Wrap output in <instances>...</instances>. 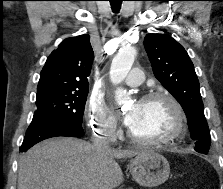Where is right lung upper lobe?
Wrapping results in <instances>:
<instances>
[{"label": "right lung upper lobe", "instance_id": "right-lung-upper-lobe-1", "mask_svg": "<svg viewBox=\"0 0 223 189\" xmlns=\"http://www.w3.org/2000/svg\"><path fill=\"white\" fill-rule=\"evenodd\" d=\"M93 58L89 35L66 38L47 58L37 93L88 89Z\"/></svg>", "mask_w": 223, "mask_h": 189}]
</instances>
